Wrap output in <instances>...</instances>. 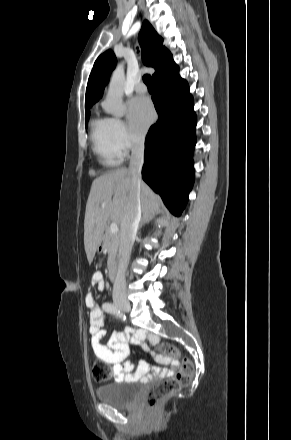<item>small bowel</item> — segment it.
I'll use <instances>...</instances> for the list:
<instances>
[{"label":"small bowel","instance_id":"small-bowel-1","mask_svg":"<svg viewBox=\"0 0 291 440\" xmlns=\"http://www.w3.org/2000/svg\"><path fill=\"white\" fill-rule=\"evenodd\" d=\"M91 284L96 285L101 290L104 289L105 283L102 274L99 272L95 273L91 278ZM85 303L90 311L91 347L99 359L112 365V373L115 379L148 382L155 377L170 376L178 369L179 361L176 357L162 360L156 358V361L166 365V368H150L146 361H141L138 367L135 368L132 362L124 361L130 353L129 340L139 343L147 338L150 344L156 345L158 337L155 334L147 335L144 332L131 334L114 330L110 336L109 345L105 346L102 343V339L106 335L103 325L107 314L104 312H108L107 307L109 304H104V311L101 310L90 293L85 295ZM145 349H147L146 346Z\"/></svg>","mask_w":291,"mask_h":440}]
</instances>
